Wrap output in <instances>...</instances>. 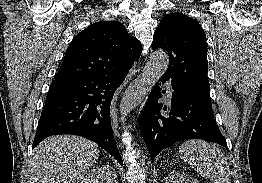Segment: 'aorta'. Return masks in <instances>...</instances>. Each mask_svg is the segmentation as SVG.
Returning a JSON list of instances; mask_svg holds the SVG:
<instances>
[{
  "label": "aorta",
  "mask_w": 262,
  "mask_h": 183,
  "mask_svg": "<svg viewBox=\"0 0 262 183\" xmlns=\"http://www.w3.org/2000/svg\"><path fill=\"white\" fill-rule=\"evenodd\" d=\"M169 58L166 52L154 51L147 61L141 75L125 91L121 103V114L126 115L139 105L156 82L166 72Z\"/></svg>",
  "instance_id": "762f6f07"
}]
</instances>
